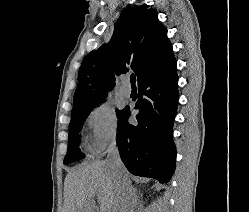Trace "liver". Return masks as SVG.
Listing matches in <instances>:
<instances>
[{
    "instance_id": "liver-1",
    "label": "liver",
    "mask_w": 249,
    "mask_h": 212,
    "mask_svg": "<svg viewBox=\"0 0 249 212\" xmlns=\"http://www.w3.org/2000/svg\"><path fill=\"white\" fill-rule=\"evenodd\" d=\"M115 170L106 160L83 164L70 170L65 178L66 212H94L95 196L101 212H114L116 188Z\"/></svg>"
}]
</instances>
